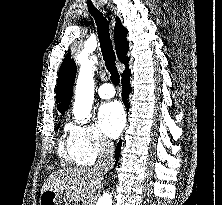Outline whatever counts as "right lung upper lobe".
Masks as SVG:
<instances>
[{
  "label": "right lung upper lobe",
  "instance_id": "cb5924a9",
  "mask_svg": "<svg viewBox=\"0 0 222 205\" xmlns=\"http://www.w3.org/2000/svg\"><path fill=\"white\" fill-rule=\"evenodd\" d=\"M116 24L114 28V41L117 57L121 63L126 67L122 76L130 72L128 67L129 57L127 52L129 43L126 39L128 34L127 29L122 25L118 17L115 18ZM76 74V64L71 58V54H66L58 73V81L56 87V101L59 103L57 109L63 113L69 106L73 94V84Z\"/></svg>",
  "mask_w": 222,
  "mask_h": 205
}]
</instances>
